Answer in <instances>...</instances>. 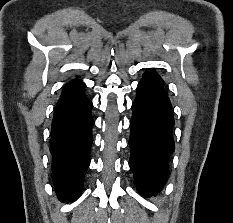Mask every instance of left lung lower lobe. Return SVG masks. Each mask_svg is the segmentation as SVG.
Wrapping results in <instances>:
<instances>
[{
  "mask_svg": "<svg viewBox=\"0 0 233 223\" xmlns=\"http://www.w3.org/2000/svg\"><path fill=\"white\" fill-rule=\"evenodd\" d=\"M137 92L132 104L129 164L138 191L149 197L163 188L169 175V157L175 150L174 118L163 80L157 73L146 71Z\"/></svg>",
  "mask_w": 233,
  "mask_h": 223,
  "instance_id": "1",
  "label": "left lung lower lobe"
}]
</instances>
